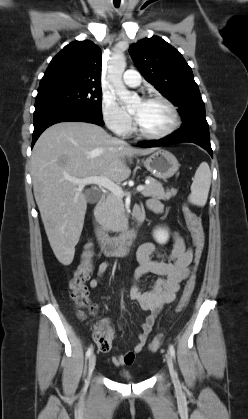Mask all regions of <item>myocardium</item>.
<instances>
[{
  "mask_svg": "<svg viewBox=\"0 0 248 419\" xmlns=\"http://www.w3.org/2000/svg\"><path fill=\"white\" fill-rule=\"evenodd\" d=\"M144 101L163 103L169 109V111L172 115V122H171L170 126L162 132L149 133V132L144 131L140 127L137 119L135 117H133L134 131L136 132V134L138 136H140L142 138H145V139H150V140H159V139H163V138H166V137L170 136L171 134H173L179 128L180 123H181V118H180L179 111H178L177 107L174 105V103L171 102L168 98H166L162 95H151V96L146 97L144 99Z\"/></svg>",
  "mask_w": 248,
  "mask_h": 419,
  "instance_id": "f54148a6",
  "label": "myocardium"
}]
</instances>
